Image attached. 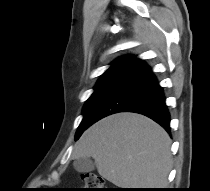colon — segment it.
I'll list each match as a JSON object with an SVG mask.
<instances>
[{
    "label": "colon",
    "instance_id": "1",
    "mask_svg": "<svg viewBox=\"0 0 210 191\" xmlns=\"http://www.w3.org/2000/svg\"><path fill=\"white\" fill-rule=\"evenodd\" d=\"M82 180L84 186L80 191H111L104 179L98 175L85 173L82 175Z\"/></svg>",
    "mask_w": 210,
    "mask_h": 191
}]
</instances>
